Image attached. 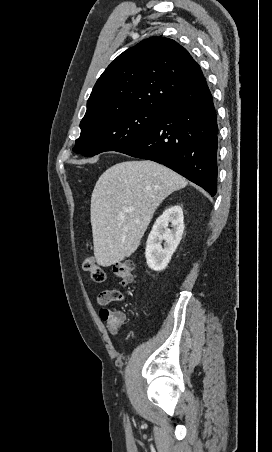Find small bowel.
<instances>
[{"label":"small bowel","mask_w":272,"mask_h":452,"mask_svg":"<svg viewBox=\"0 0 272 452\" xmlns=\"http://www.w3.org/2000/svg\"><path fill=\"white\" fill-rule=\"evenodd\" d=\"M124 299L123 293L116 289L104 290L98 296V301L101 305H107L111 302H122ZM100 318L106 323L111 334H117L126 321V313L120 310L112 311L103 308L100 310Z\"/></svg>","instance_id":"small-bowel-1"}]
</instances>
